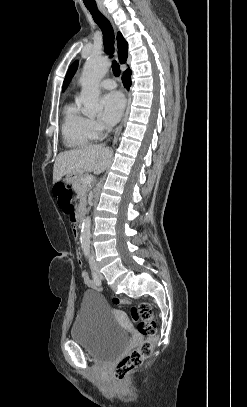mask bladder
I'll use <instances>...</instances> for the list:
<instances>
[{"label": "bladder", "instance_id": "1", "mask_svg": "<svg viewBox=\"0 0 247 407\" xmlns=\"http://www.w3.org/2000/svg\"><path fill=\"white\" fill-rule=\"evenodd\" d=\"M74 342L96 359L118 355L129 341V332L113 314L107 300L95 290L86 291L71 329Z\"/></svg>", "mask_w": 247, "mask_h": 407}]
</instances>
